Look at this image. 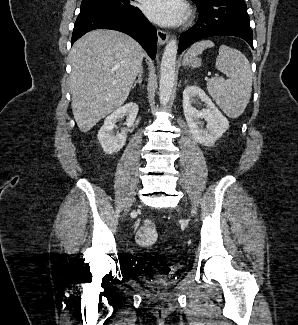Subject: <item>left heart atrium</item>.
Here are the masks:
<instances>
[{"instance_id":"1","label":"left heart atrium","mask_w":298,"mask_h":325,"mask_svg":"<svg viewBox=\"0 0 298 325\" xmlns=\"http://www.w3.org/2000/svg\"><path fill=\"white\" fill-rule=\"evenodd\" d=\"M143 9L150 20L162 26L178 24L186 10L181 0H145Z\"/></svg>"}]
</instances>
